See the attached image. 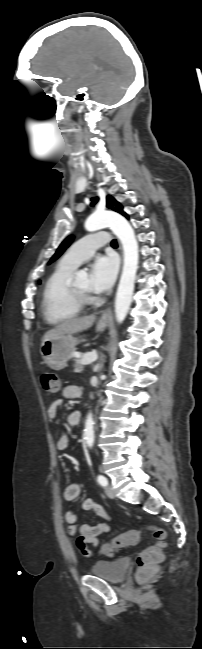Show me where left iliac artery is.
Instances as JSON below:
<instances>
[{"label":"left iliac artery","instance_id":"1","mask_svg":"<svg viewBox=\"0 0 202 649\" xmlns=\"http://www.w3.org/2000/svg\"><path fill=\"white\" fill-rule=\"evenodd\" d=\"M97 481L102 486H107V484H108L107 479L103 475H98L97 476Z\"/></svg>","mask_w":202,"mask_h":649}]
</instances>
